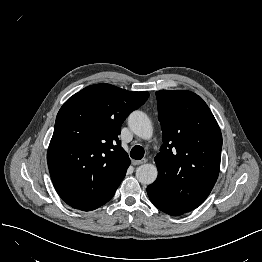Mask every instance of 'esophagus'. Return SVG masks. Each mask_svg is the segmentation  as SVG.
<instances>
[{"instance_id": "1", "label": "esophagus", "mask_w": 262, "mask_h": 262, "mask_svg": "<svg viewBox=\"0 0 262 262\" xmlns=\"http://www.w3.org/2000/svg\"><path fill=\"white\" fill-rule=\"evenodd\" d=\"M147 160L146 159H142V160H132V164L133 165H141L143 163H145Z\"/></svg>"}]
</instances>
